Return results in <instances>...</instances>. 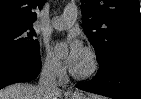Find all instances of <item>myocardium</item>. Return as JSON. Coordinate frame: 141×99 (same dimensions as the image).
Listing matches in <instances>:
<instances>
[{
    "mask_svg": "<svg viewBox=\"0 0 141 99\" xmlns=\"http://www.w3.org/2000/svg\"><path fill=\"white\" fill-rule=\"evenodd\" d=\"M85 54L88 58L89 66L84 71L76 70L75 68H71L70 72L72 76L79 80L90 79L97 74L100 68V61L97 53L90 47L85 48Z\"/></svg>",
    "mask_w": 141,
    "mask_h": 99,
    "instance_id": "myocardium-1",
    "label": "myocardium"
}]
</instances>
